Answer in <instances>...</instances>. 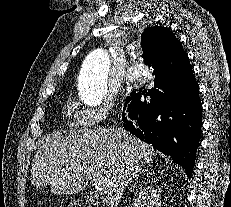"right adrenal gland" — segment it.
Here are the masks:
<instances>
[{"instance_id":"2a0ac1e0","label":"right adrenal gland","mask_w":231,"mask_h":207,"mask_svg":"<svg viewBox=\"0 0 231 207\" xmlns=\"http://www.w3.org/2000/svg\"><path fill=\"white\" fill-rule=\"evenodd\" d=\"M144 171V170H143ZM145 171H147V170H145ZM138 179V176L136 177V180Z\"/></svg>"}]
</instances>
